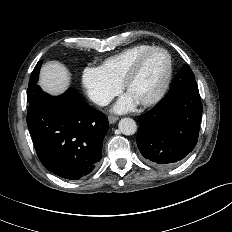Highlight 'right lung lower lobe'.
I'll return each mask as SVG.
<instances>
[{
	"mask_svg": "<svg viewBox=\"0 0 232 232\" xmlns=\"http://www.w3.org/2000/svg\"><path fill=\"white\" fill-rule=\"evenodd\" d=\"M27 125L41 163L69 180L87 176L102 158L108 119L75 89L60 96L37 90L28 102Z\"/></svg>",
	"mask_w": 232,
	"mask_h": 232,
	"instance_id": "obj_1",
	"label": "right lung lower lobe"
}]
</instances>
